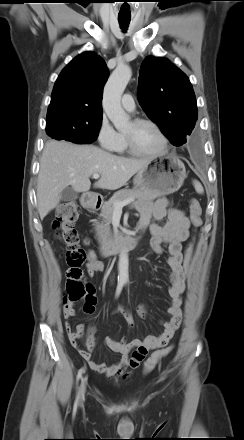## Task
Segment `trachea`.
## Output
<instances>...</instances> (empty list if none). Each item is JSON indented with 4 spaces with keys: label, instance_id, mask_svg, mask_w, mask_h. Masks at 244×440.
I'll use <instances>...</instances> for the list:
<instances>
[{
    "label": "trachea",
    "instance_id": "1",
    "mask_svg": "<svg viewBox=\"0 0 244 440\" xmlns=\"http://www.w3.org/2000/svg\"><path fill=\"white\" fill-rule=\"evenodd\" d=\"M118 21L121 29L123 31H126L130 23V18H118Z\"/></svg>",
    "mask_w": 244,
    "mask_h": 440
}]
</instances>
